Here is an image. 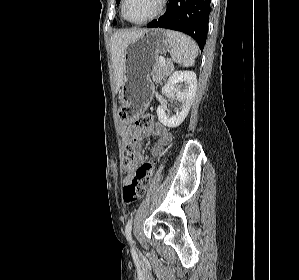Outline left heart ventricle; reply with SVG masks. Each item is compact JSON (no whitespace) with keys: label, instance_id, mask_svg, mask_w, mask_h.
Masks as SVG:
<instances>
[{"label":"left heart ventricle","instance_id":"1","mask_svg":"<svg viewBox=\"0 0 299 280\" xmlns=\"http://www.w3.org/2000/svg\"><path fill=\"white\" fill-rule=\"evenodd\" d=\"M159 0H127L126 15L138 21L150 16L158 7Z\"/></svg>","mask_w":299,"mask_h":280}]
</instances>
